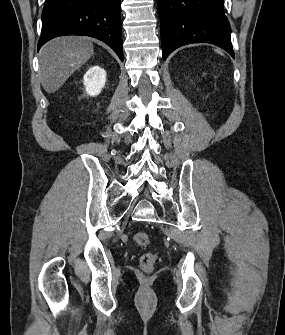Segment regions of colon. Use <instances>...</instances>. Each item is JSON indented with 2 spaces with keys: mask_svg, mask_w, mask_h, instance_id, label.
<instances>
[{
  "mask_svg": "<svg viewBox=\"0 0 285 335\" xmlns=\"http://www.w3.org/2000/svg\"><path fill=\"white\" fill-rule=\"evenodd\" d=\"M134 240L137 245L142 247L147 246L150 241L148 234L145 232H138L135 235ZM155 263H156V255L153 253H145L140 258V266L146 272H150L154 268Z\"/></svg>",
  "mask_w": 285,
  "mask_h": 335,
  "instance_id": "5ec220e1",
  "label": "colon"
}]
</instances>
